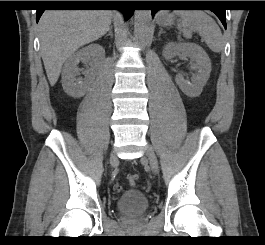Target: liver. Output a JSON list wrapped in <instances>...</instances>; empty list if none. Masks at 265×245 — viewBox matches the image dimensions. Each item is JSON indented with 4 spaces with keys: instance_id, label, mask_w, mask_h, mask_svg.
Returning <instances> with one entry per match:
<instances>
[{
    "instance_id": "liver-1",
    "label": "liver",
    "mask_w": 265,
    "mask_h": 245,
    "mask_svg": "<svg viewBox=\"0 0 265 245\" xmlns=\"http://www.w3.org/2000/svg\"><path fill=\"white\" fill-rule=\"evenodd\" d=\"M114 13L108 10H48L39 21L41 55L51 86L66 60L81 46L104 36Z\"/></svg>"
}]
</instances>
